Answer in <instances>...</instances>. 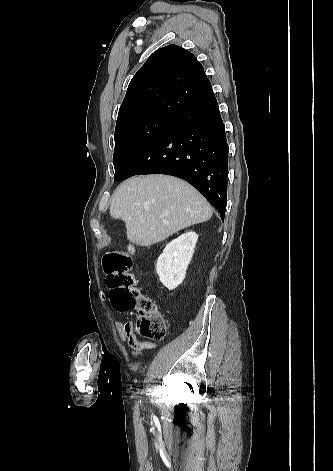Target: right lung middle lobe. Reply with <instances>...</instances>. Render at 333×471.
<instances>
[{
  "instance_id": "1",
  "label": "right lung middle lobe",
  "mask_w": 333,
  "mask_h": 471,
  "mask_svg": "<svg viewBox=\"0 0 333 471\" xmlns=\"http://www.w3.org/2000/svg\"><path fill=\"white\" fill-rule=\"evenodd\" d=\"M161 113H141L117 120L113 164L117 181L143 149L174 120Z\"/></svg>"
}]
</instances>
